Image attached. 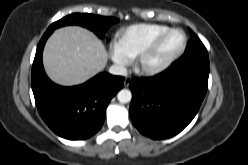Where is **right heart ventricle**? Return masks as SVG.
<instances>
[{
    "instance_id": "obj_1",
    "label": "right heart ventricle",
    "mask_w": 248,
    "mask_h": 165,
    "mask_svg": "<svg viewBox=\"0 0 248 165\" xmlns=\"http://www.w3.org/2000/svg\"><path fill=\"white\" fill-rule=\"evenodd\" d=\"M167 28L162 24H134L120 31L116 44L129 59H134L155 36Z\"/></svg>"
}]
</instances>
